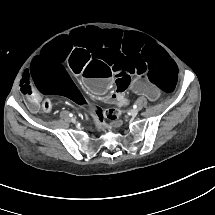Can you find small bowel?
Segmentation results:
<instances>
[{
  "mask_svg": "<svg viewBox=\"0 0 215 215\" xmlns=\"http://www.w3.org/2000/svg\"><path fill=\"white\" fill-rule=\"evenodd\" d=\"M111 99L118 104L124 103V94L120 91H114L111 95ZM78 103V100L76 99ZM28 105L31 111L36 112L39 109V98L34 96L28 101Z\"/></svg>",
  "mask_w": 215,
  "mask_h": 215,
  "instance_id": "1",
  "label": "small bowel"
}]
</instances>
